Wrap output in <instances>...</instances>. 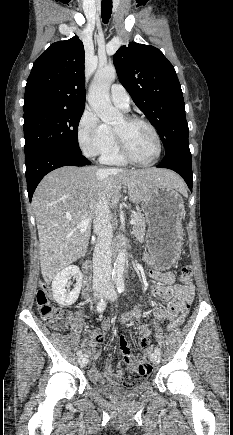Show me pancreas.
<instances>
[{
	"label": "pancreas",
	"mask_w": 233,
	"mask_h": 435,
	"mask_svg": "<svg viewBox=\"0 0 233 435\" xmlns=\"http://www.w3.org/2000/svg\"><path fill=\"white\" fill-rule=\"evenodd\" d=\"M131 218L136 222L133 226V233L138 240H143L145 235V219L144 215L140 212H135L131 215Z\"/></svg>",
	"instance_id": "1"
}]
</instances>
